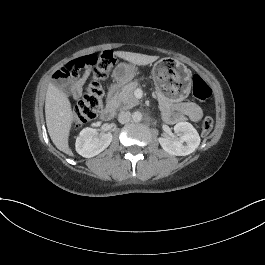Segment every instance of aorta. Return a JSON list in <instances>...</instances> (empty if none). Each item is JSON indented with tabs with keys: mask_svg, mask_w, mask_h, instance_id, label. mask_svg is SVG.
Segmentation results:
<instances>
[{
	"mask_svg": "<svg viewBox=\"0 0 265 265\" xmlns=\"http://www.w3.org/2000/svg\"><path fill=\"white\" fill-rule=\"evenodd\" d=\"M132 120L134 122H140L142 120V113L139 112V111H135L133 114H132Z\"/></svg>",
	"mask_w": 265,
	"mask_h": 265,
	"instance_id": "762f6f07",
	"label": "aorta"
}]
</instances>
